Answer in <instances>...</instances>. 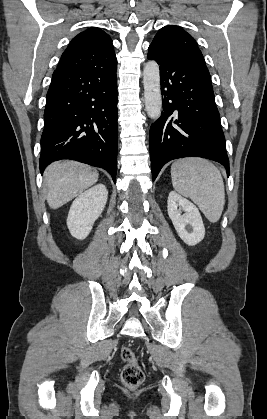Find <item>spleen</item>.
<instances>
[{"label":"spleen","instance_id":"spleen-1","mask_svg":"<svg viewBox=\"0 0 267 419\" xmlns=\"http://www.w3.org/2000/svg\"><path fill=\"white\" fill-rule=\"evenodd\" d=\"M172 185L179 194L198 205L205 217L217 222L225 204V189L219 169L202 158H183L171 166Z\"/></svg>","mask_w":267,"mask_h":419}]
</instances>
